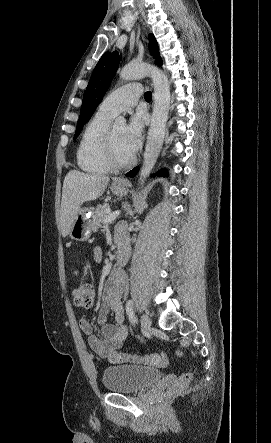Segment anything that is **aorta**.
<instances>
[{
	"label": "aorta",
	"mask_w": 271,
	"mask_h": 443,
	"mask_svg": "<svg viewBox=\"0 0 271 443\" xmlns=\"http://www.w3.org/2000/svg\"><path fill=\"white\" fill-rule=\"evenodd\" d=\"M149 76L154 86V106L150 130L148 132L147 144L144 154V162L139 174L140 186H143L144 180L149 178L156 160L162 150L168 114L170 110L171 94L169 80L159 68L149 66V64H128L122 68L120 80H134V78H145ZM126 120L123 116L116 118L115 124L123 126Z\"/></svg>",
	"instance_id": "762f6f07"
}]
</instances>
